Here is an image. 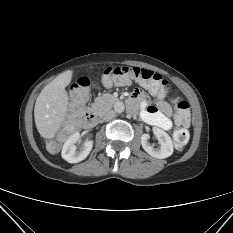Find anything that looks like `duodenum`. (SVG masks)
<instances>
[{
	"instance_id": "obj_1",
	"label": "duodenum",
	"mask_w": 233,
	"mask_h": 233,
	"mask_svg": "<svg viewBox=\"0 0 233 233\" xmlns=\"http://www.w3.org/2000/svg\"><path fill=\"white\" fill-rule=\"evenodd\" d=\"M97 114L94 112V111H89L87 114H86V118H85V126L87 128H91L93 127L96 122H97Z\"/></svg>"
}]
</instances>
